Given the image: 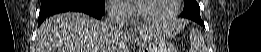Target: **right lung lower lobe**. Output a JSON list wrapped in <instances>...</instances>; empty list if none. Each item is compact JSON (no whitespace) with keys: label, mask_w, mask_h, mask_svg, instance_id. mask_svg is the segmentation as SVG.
<instances>
[{"label":"right lung lower lobe","mask_w":261,"mask_h":52,"mask_svg":"<svg viewBox=\"0 0 261 52\" xmlns=\"http://www.w3.org/2000/svg\"><path fill=\"white\" fill-rule=\"evenodd\" d=\"M76 11L100 19L105 13L104 0H41L39 25L49 16L57 13Z\"/></svg>","instance_id":"obj_1"}]
</instances>
